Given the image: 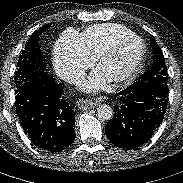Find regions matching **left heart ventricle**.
I'll return each instance as SVG.
<instances>
[{"label": "left heart ventricle", "mask_w": 183, "mask_h": 183, "mask_svg": "<svg viewBox=\"0 0 183 183\" xmlns=\"http://www.w3.org/2000/svg\"><path fill=\"white\" fill-rule=\"evenodd\" d=\"M140 44L136 41L126 43L118 53L107 60L100 68V72L110 80V78L120 75L128 70L135 62L140 52Z\"/></svg>", "instance_id": "1"}]
</instances>
